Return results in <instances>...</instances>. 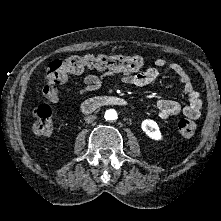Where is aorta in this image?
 <instances>
[{"mask_svg":"<svg viewBox=\"0 0 221 221\" xmlns=\"http://www.w3.org/2000/svg\"><path fill=\"white\" fill-rule=\"evenodd\" d=\"M106 120H116L117 117V112L114 109H109L105 112L104 115Z\"/></svg>","mask_w":221,"mask_h":221,"instance_id":"762f6f07","label":"aorta"}]
</instances>
